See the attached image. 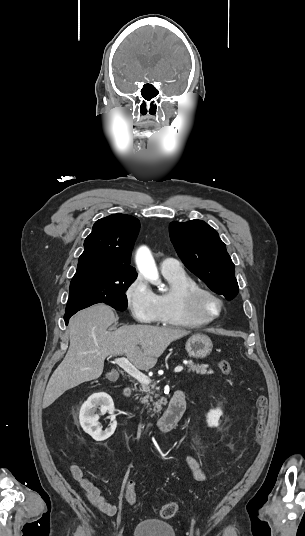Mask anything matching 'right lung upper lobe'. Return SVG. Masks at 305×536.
Wrapping results in <instances>:
<instances>
[{
	"label": "right lung upper lobe",
	"instance_id": "cb5924a9",
	"mask_svg": "<svg viewBox=\"0 0 305 536\" xmlns=\"http://www.w3.org/2000/svg\"><path fill=\"white\" fill-rule=\"evenodd\" d=\"M139 228V220L126 214H113L96 221L85 239L74 277L137 275L130 266V257Z\"/></svg>",
	"mask_w": 305,
	"mask_h": 536
}]
</instances>
